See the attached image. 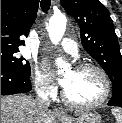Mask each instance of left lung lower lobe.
I'll list each match as a JSON object with an SVG mask.
<instances>
[{"label": "left lung lower lobe", "instance_id": "left-lung-lower-lobe-1", "mask_svg": "<svg viewBox=\"0 0 122 123\" xmlns=\"http://www.w3.org/2000/svg\"><path fill=\"white\" fill-rule=\"evenodd\" d=\"M108 105L122 107V92L113 94Z\"/></svg>", "mask_w": 122, "mask_h": 123}]
</instances>
